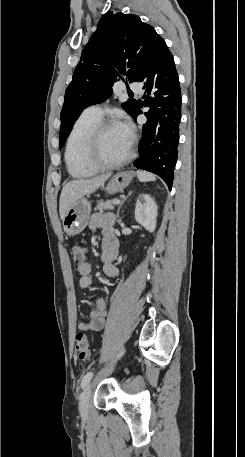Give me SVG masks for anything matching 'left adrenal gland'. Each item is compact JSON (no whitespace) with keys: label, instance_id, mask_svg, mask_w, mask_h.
Wrapping results in <instances>:
<instances>
[{"label":"left adrenal gland","instance_id":"left-adrenal-gland-1","mask_svg":"<svg viewBox=\"0 0 245 457\" xmlns=\"http://www.w3.org/2000/svg\"><path fill=\"white\" fill-rule=\"evenodd\" d=\"M132 192H133V190H129L127 196H125V198H123V200H121V202H120V204H119V206H118V208H117V212H116L117 218H118V216H119V214H120V208H121L123 202H125V200H127L128 196H130V194H132Z\"/></svg>","mask_w":245,"mask_h":457}]
</instances>
